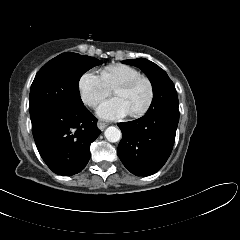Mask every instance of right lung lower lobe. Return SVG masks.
Masks as SVG:
<instances>
[{
	"label": "right lung lower lobe",
	"mask_w": 240,
	"mask_h": 240,
	"mask_svg": "<svg viewBox=\"0 0 240 240\" xmlns=\"http://www.w3.org/2000/svg\"><path fill=\"white\" fill-rule=\"evenodd\" d=\"M37 149L56 174L81 172L90 159V144L100 135L97 119L84 106L54 109L31 119Z\"/></svg>",
	"instance_id": "1"
}]
</instances>
